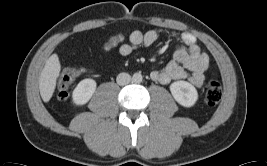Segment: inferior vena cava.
Masks as SVG:
<instances>
[{
  "instance_id": "1",
  "label": "inferior vena cava",
  "mask_w": 267,
  "mask_h": 166,
  "mask_svg": "<svg viewBox=\"0 0 267 166\" xmlns=\"http://www.w3.org/2000/svg\"><path fill=\"white\" fill-rule=\"evenodd\" d=\"M117 84L120 86H124L130 83L131 76L128 73H120L116 78Z\"/></svg>"
}]
</instances>
